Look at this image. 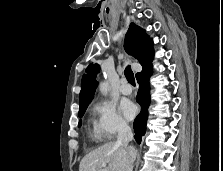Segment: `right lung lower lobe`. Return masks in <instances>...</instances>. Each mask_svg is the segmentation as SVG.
Masks as SVG:
<instances>
[{
	"label": "right lung lower lobe",
	"instance_id": "1",
	"mask_svg": "<svg viewBox=\"0 0 223 171\" xmlns=\"http://www.w3.org/2000/svg\"><path fill=\"white\" fill-rule=\"evenodd\" d=\"M152 74V70L147 68L136 75L137 82L139 84V90L136 97V101L141 105V112L134 121L135 140L140 143L142 136L146 132V122L148 118V106L150 104V86L149 78Z\"/></svg>",
	"mask_w": 223,
	"mask_h": 171
}]
</instances>
